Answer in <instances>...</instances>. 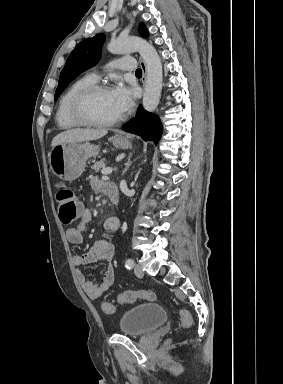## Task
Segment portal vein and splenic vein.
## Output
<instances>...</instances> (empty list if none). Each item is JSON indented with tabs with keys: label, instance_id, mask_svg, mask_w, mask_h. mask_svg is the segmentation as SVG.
<instances>
[{
	"label": "portal vein and splenic vein",
	"instance_id": "obj_1",
	"mask_svg": "<svg viewBox=\"0 0 283 384\" xmlns=\"http://www.w3.org/2000/svg\"><path fill=\"white\" fill-rule=\"evenodd\" d=\"M113 170L112 168H103V170H101V174H103V178L104 176H108V174H112Z\"/></svg>",
	"mask_w": 283,
	"mask_h": 384
}]
</instances>
